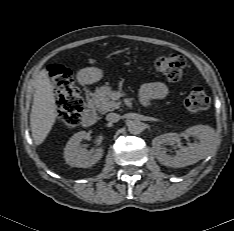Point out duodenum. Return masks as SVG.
<instances>
[{"mask_svg": "<svg viewBox=\"0 0 234 231\" xmlns=\"http://www.w3.org/2000/svg\"><path fill=\"white\" fill-rule=\"evenodd\" d=\"M86 98H87V100L90 99V92L89 91L86 92ZM81 120L85 126H91V125L95 124V122L97 120V113H96V110L92 104L88 103V105L85 107V109L82 113Z\"/></svg>", "mask_w": 234, "mask_h": 231, "instance_id": "410a0bca", "label": "duodenum"}]
</instances>
